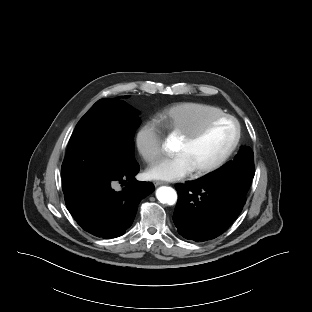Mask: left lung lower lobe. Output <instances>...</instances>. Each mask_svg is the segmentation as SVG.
Segmentation results:
<instances>
[{"label": "left lung lower lobe", "mask_w": 312, "mask_h": 312, "mask_svg": "<svg viewBox=\"0 0 312 312\" xmlns=\"http://www.w3.org/2000/svg\"><path fill=\"white\" fill-rule=\"evenodd\" d=\"M178 202L173 221L188 240L207 241L225 232L242 211L246 194L221 178L177 184Z\"/></svg>", "instance_id": "0a47b994"}]
</instances>
